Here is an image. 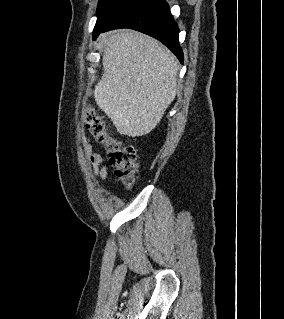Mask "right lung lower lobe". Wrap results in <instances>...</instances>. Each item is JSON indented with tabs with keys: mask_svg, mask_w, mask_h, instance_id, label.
<instances>
[{
	"mask_svg": "<svg viewBox=\"0 0 284 319\" xmlns=\"http://www.w3.org/2000/svg\"><path fill=\"white\" fill-rule=\"evenodd\" d=\"M117 28L135 29L158 39L183 63V51L178 41L179 28L165 0H137L107 26L93 32V39L101 32Z\"/></svg>",
	"mask_w": 284,
	"mask_h": 319,
	"instance_id": "right-lung-lower-lobe-1",
	"label": "right lung lower lobe"
}]
</instances>
